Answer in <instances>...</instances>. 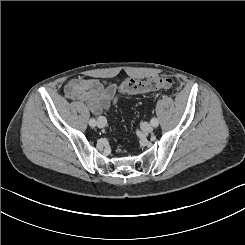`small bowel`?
<instances>
[{
	"label": "small bowel",
	"mask_w": 245,
	"mask_h": 245,
	"mask_svg": "<svg viewBox=\"0 0 245 245\" xmlns=\"http://www.w3.org/2000/svg\"><path fill=\"white\" fill-rule=\"evenodd\" d=\"M66 95L81 103L84 113L101 115L118 101V90L114 83L99 79H72L65 87Z\"/></svg>",
	"instance_id": "small-bowel-1"
}]
</instances>
